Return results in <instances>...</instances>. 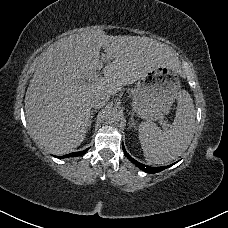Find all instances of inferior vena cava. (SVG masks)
<instances>
[{
	"label": "inferior vena cava",
	"instance_id": "inferior-vena-cava-1",
	"mask_svg": "<svg viewBox=\"0 0 228 228\" xmlns=\"http://www.w3.org/2000/svg\"><path fill=\"white\" fill-rule=\"evenodd\" d=\"M90 107L91 108H94V109H102L105 107L106 103H107V100H108V97L106 96H102L101 94L99 93H91L90 94Z\"/></svg>",
	"mask_w": 228,
	"mask_h": 228
}]
</instances>
